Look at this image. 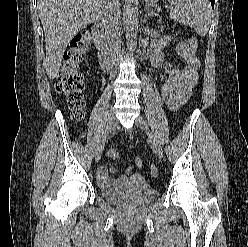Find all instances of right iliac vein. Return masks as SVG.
Wrapping results in <instances>:
<instances>
[{"label": "right iliac vein", "instance_id": "obj_1", "mask_svg": "<svg viewBox=\"0 0 248 247\" xmlns=\"http://www.w3.org/2000/svg\"><path fill=\"white\" fill-rule=\"evenodd\" d=\"M114 123H115V117H114L113 110L111 109L110 112H109V115H108L106 130H105V134H104L102 143L99 145V147L97 149V152H96V156H95V161L96 162H99V160H100V158L102 156L105 141L107 140L108 136L112 133Z\"/></svg>", "mask_w": 248, "mask_h": 247}]
</instances>
